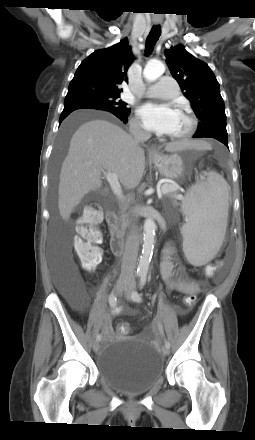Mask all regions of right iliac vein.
<instances>
[{"label": "right iliac vein", "instance_id": "1", "mask_svg": "<svg viewBox=\"0 0 255 440\" xmlns=\"http://www.w3.org/2000/svg\"><path fill=\"white\" fill-rule=\"evenodd\" d=\"M127 289V282L126 281H119L116 285V292L117 294H121L123 291ZM99 342L95 341L93 343V351L97 353L99 351Z\"/></svg>", "mask_w": 255, "mask_h": 440}]
</instances>
